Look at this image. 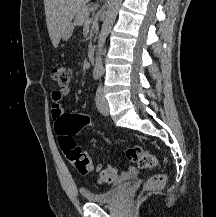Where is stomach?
<instances>
[{
  "mask_svg": "<svg viewBox=\"0 0 216 217\" xmlns=\"http://www.w3.org/2000/svg\"><path fill=\"white\" fill-rule=\"evenodd\" d=\"M73 29H74V25L71 23L67 28L66 30L64 31L63 35H62V38L64 40H67L71 37L72 33H73Z\"/></svg>",
  "mask_w": 216,
  "mask_h": 217,
  "instance_id": "1",
  "label": "stomach"
}]
</instances>
